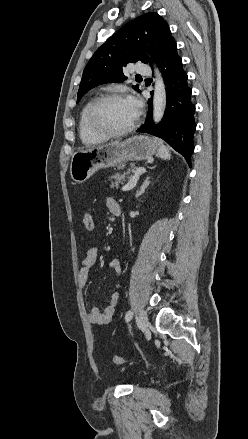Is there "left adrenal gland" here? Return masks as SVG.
I'll return each mask as SVG.
<instances>
[{
  "instance_id": "a2214340",
  "label": "left adrenal gland",
  "mask_w": 248,
  "mask_h": 439,
  "mask_svg": "<svg viewBox=\"0 0 248 439\" xmlns=\"http://www.w3.org/2000/svg\"><path fill=\"white\" fill-rule=\"evenodd\" d=\"M151 177H146V179L144 180L142 186L140 187V189L137 191L136 193V198L139 197L140 195H142L145 192V189L149 186V184L151 183L150 181Z\"/></svg>"
}]
</instances>
